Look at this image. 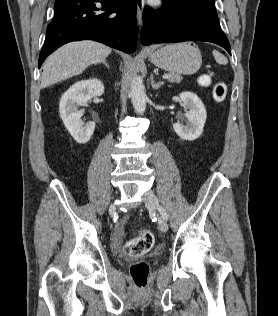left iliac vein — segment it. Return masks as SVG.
I'll return each instance as SVG.
<instances>
[{"mask_svg": "<svg viewBox=\"0 0 278 316\" xmlns=\"http://www.w3.org/2000/svg\"><path fill=\"white\" fill-rule=\"evenodd\" d=\"M143 199H144L145 205L149 211H151V212L157 211L159 201H158V198L156 197V195L154 194L153 191H151V190L146 191L143 195ZM158 226L162 232H164V233L167 232L168 224L163 217H159Z\"/></svg>", "mask_w": 278, "mask_h": 316, "instance_id": "1", "label": "left iliac vein"}]
</instances>
